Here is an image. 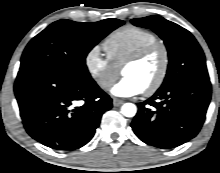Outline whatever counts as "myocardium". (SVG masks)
<instances>
[{
  "label": "myocardium",
  "mask_w": 220,
  "mask_h": 173,
  "mask_svg": "<svg viewBox=\"0 0 220 173\" xmlns=\"http://www.w3.org/2000/svg\"><path fill=\"white\" fill-rule=\"evenodd\" d=\"M157 51H160L162 54L161 69L153 84L143 91L145 96L154 95L162 87L166 80L170 66V52L168 47L164 43L159 41L151 43L135 52L124 62L122 66L123 70L127 66L140 63Z\"/></svg>",
  "instance_id": "f54148a6"
}]
</instances>
